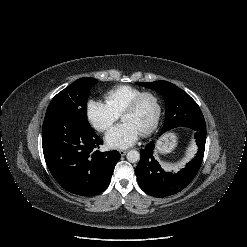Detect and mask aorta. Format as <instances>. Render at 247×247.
Segmentation results:
<instances>
[{
	"label": "aorta",
	"mask_w": 247,
	"mask_h": 247,
	"mask_svg": "<svg viewBox=\"0 0 247 247\" xmlns=\"http://www.w3.org/2000/svg\"><path fill=\"white\" fill-rule=\"evenodd\" d=\"M127 160L130 162V163H136L139 161L140 159V153L136 150H130L128 153H127Z\"/></svg>",
	"instance_id": "aorta-1"
}]
</instances>
